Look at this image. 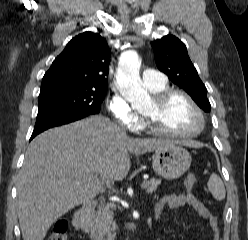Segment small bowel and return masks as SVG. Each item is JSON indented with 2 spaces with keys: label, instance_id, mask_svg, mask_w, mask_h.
Returning <instances> with one entry per match:
<instances>
[{
  "label": "small bowel",
  "instance_id": "1",
  "mask_svg": "<svg viewBox=\"0 0 248 240\" xmlns=\"http://www.w3.org/2000/svg\"><path fill=\"white\" fill-rule=\"evenodd\" d=\"M190 206L200 217L207 221V227L212 232V239L219 240V223L215 215L199 199L189 193L168 194L164 195L158 202L153 205L154 215L159 218L165 207L176 211Z\"/></svg>",
  "mask_w": 248,
  "mask_h": 240
}]
</instances>
